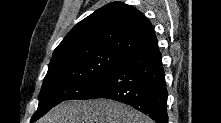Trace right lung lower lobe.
I'll use <instances>...</instances> for the list:
<instances>
[{
	"label": "right lung lower lobe",
	"instance_id": "right-lung-lower-lobe-1",
	"mask_svg": "<svg viewBox=\"0 0 221 123\" xmlns=\"http://www.w3.org/2000/svg\"><path fill=\"white\" fill-rule=\"evenodd\" d=\"M108 98L128 104L167 123V89L158 48L135 52L100 79L89 99Z\"/></svg>",
	"mask_w": 221,
	"mask_h": 123
}]
</instances>
